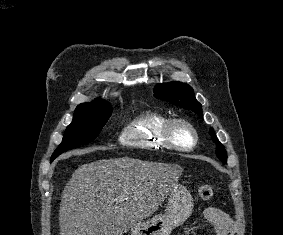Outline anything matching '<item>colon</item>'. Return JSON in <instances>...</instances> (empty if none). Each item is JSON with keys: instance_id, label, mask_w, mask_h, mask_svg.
Listing matches in <instances>:
<instances>
[{"instance_id": "colon-1", "label": "colon", "mask_w": 283, "mask_h": 235, "mask_svg": "<svg viewBox=\"0 0 283 235\" xmlns=\"http://www.w3.org/2000/svg\"><path fill=\"white\" fill-rule=\"evenodd\" d=\"M198 194L203 200H210L214 195V191L209 184L202 183L198 187Z\"/></svg>"}]
</instances>
